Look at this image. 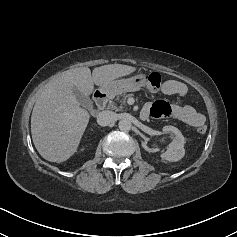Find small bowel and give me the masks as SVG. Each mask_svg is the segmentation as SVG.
Wrapping results in <instances>:
<instances>
[{"label":"small bowel","instance_id":"1","mask_svg":"<svg viewBox=\"0 0 237 237\" xmlns=\"http://www.w3.org/2000/svg\"><path fill=\"white\" fill-rule=\"evenodd\" d=\"M162 92L166 95L184 96L187 94V86L178 80H167L162 86ZM141 116L144 119L148 117L163 118L171 116L195 128H199L205 124L204 116L193 106L170 104L164 100L146 103Z\"/></svg>","mask_w":237,"mask_h":237}]
</instances>
